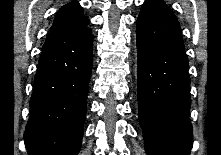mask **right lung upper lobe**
<instances>
[{
	"label": "right lung upper lobe",
	"instance_id": "right-lung-upper-lobe-1",
	"mask_svg": "<svg viewBox=\"0 0 221 155\" xmlns=\"http://www.w3.org/2000/svg\"><path fill=\"white\" fill-rule=\"evenodd\" d=\"M88 23L83 9L78 2L74 1L64 5L56 14L50 32L64 31L78 28Z\"/></svg>",
	"mask_w": 221,
	"mask_h": 155
}]
</instances>
